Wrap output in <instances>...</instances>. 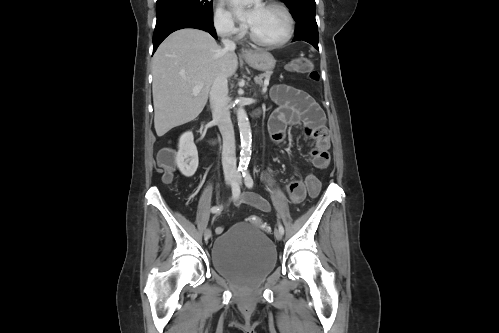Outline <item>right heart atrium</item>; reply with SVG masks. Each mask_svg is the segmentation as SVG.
<instances>
[{
    "label": "right heart atrium",
    "instance_id": "right-heart-atrium-1",
    "mask_svg": "<svg viewBox=\"0 0 499 333\" xmlns=\"http://www.w3.org/2000/svg\"><path fill=\"white\" fill-rule=\"evenodd\" d=\"M213 26L216 32L225 37H237L241 34V27L237 26L221 3H217L213 13Z\"/></svg>",
    "mask_w": 499,
    "mask_h": 333
}]
</instances>
